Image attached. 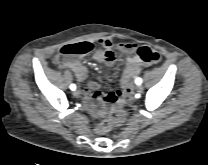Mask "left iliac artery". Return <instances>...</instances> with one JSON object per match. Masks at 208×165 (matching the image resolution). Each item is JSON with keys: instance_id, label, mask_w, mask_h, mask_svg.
<instances>
[{"instance_id": "44dca946", "label": "left iliac artery", "mask_w": 208, "mask_h": 165, "mask_svg": "<svg viewBox=\"0 0 208 165\" xmlns=\"http://www.w3.org/2000/svg\"><path fill=\"white\" fill-rule=\"evenodd\" d=\"M135 82H136L137 85H140L142 83V79L141 78H137Z\"/></svg>"}]
</instances>
